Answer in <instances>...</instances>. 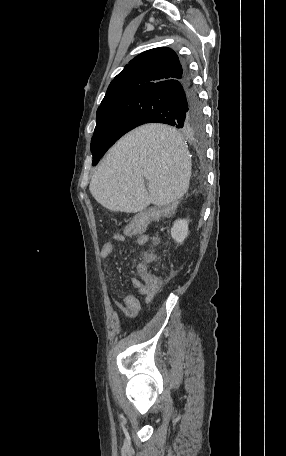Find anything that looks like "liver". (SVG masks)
<instances>
[{
  "label": "liver",
  "instance_id": "6515ba94",
  "mask_svg": "<svg viewBox=\"0 0 286 456\" xmlns=\"http://www.w3.org/2000/svg\"><path fill=\"white\" fill-rule=\"evenodd\" d=\"M191 166L176 128L146 124L127 133L108 151L89 190L110 211L137 213L150 204L168 205L183 197L189 188Z\"/></svg>",
  "mask_w": 286,
  "mask_h": 456
}]
</instances>
